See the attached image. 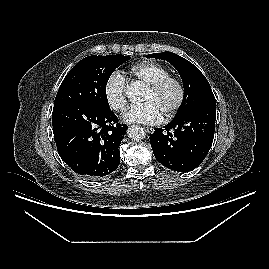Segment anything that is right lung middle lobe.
<instances>
[{
	"label": "right lung middle lobe",
	"instance_id": "1",
	"mask_svg": "<svg viewBox=\"0 0 269 269\" xmlns=\"http://www.w3.org/2000/svg\"><path fill=\"white\" fill-rule=\"evenodd\" d=\"M129 56H88L79 61L64 78L54 106L78 103L109 110L106 85L113 71Z\"/></svg>",
	"mask_w": 269,
	"mask_h": 269
}]
</instances>
